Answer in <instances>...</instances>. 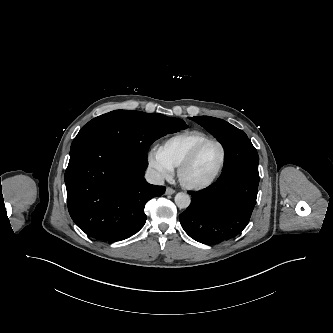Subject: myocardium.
<instances>
[{
  "label": "myocardium",
  "instance_id": "f54148a6",
  "mask_svg": "<svg viewBox=\"0 0 333 333\" xmlns=\"http://www.w3.org/2000/svg\"><path fill=\"white\" fill-rule=\"evenodd\" d=\"M207 144H216L220 151H221V157L218 166L216 167L215 171L212 173V175L207 178L206 180L200 181V182H192L189 181L186 178V171L187 169L193 164L195 161L198 153L200 150L206 146ZM226 161V149L224 145L217 139L214 138H208L201 142H199L187 155V157L183 160V162L178 167V179L181 183V185L189 190H200L204 189L208 186H210L220 175V173L223 170L224 164Z\"/></svg>",
  "mask_w": 333,
  "mask_h": 333
}]
</instances>
